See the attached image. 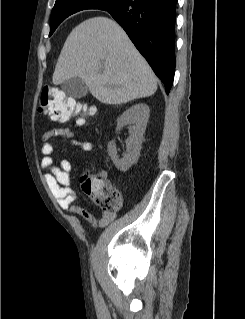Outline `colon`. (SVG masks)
I'll return each instance as SVG.
<instances>
[{
  "label": "colon",
  "mask_w": 245,
  "mask_h": 319,
  "mask_svg": "<svg viewBox=\"0 0 245 319\" xmlns=\"http://www.w3.org/2000/svg\"><path fill=\"white\" fill-rule=\"evenodd\" d=\"M40 111L48 116L66 121L81 114L78 122L85 123L86 119L94 117L96 110L86 104L77 102L74 98L67 97L62 91L54 87H45L40 95ZM83 192L94 203L106 212H114L121 207V194L110 183L106 172L96 174H83L80 179Z\"/></svg>",
  "instance_id": "obj_1"
}]
</instances>
